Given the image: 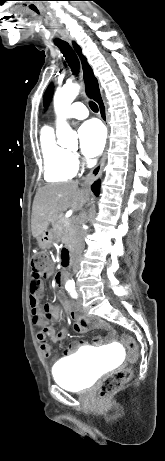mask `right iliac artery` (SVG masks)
Here are the masks:
<instances>
[{"instance_id": "1", "label": "right iliac artery", "mask_w": 165, "mask_h": 461, "mask_svg": "<svg viewBox=\"0 0 165 461\" xmlns=\"http://www.w3.org/2000/svg\"><path fill=\"white\" fill-rule=\"evenodd\" d=\"M66 289L71 290V289H73V286L67 287Z\"/></svg>"}]
</instances>
